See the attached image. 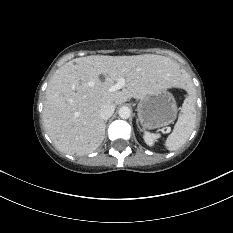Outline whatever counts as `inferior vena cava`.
Returning a JSON list of instances; mask_svg holds the SVG:
<instances>
[{"instance_id": "602c4592", "label": "inferior vena cava", "mask_w": 233, "mask_h": 233, "mask_svg": "<svg viewBox=\"0 0 233 233\" xmlns=\"http://www.w3.org/2000/svg\"><path fill=\"white\" fill-rule=\"evenodd\" d=\"M115 106L113 104H105L101 107L99 115L103 120H108L114 113Z\"/></svg>"}]
</instances>
